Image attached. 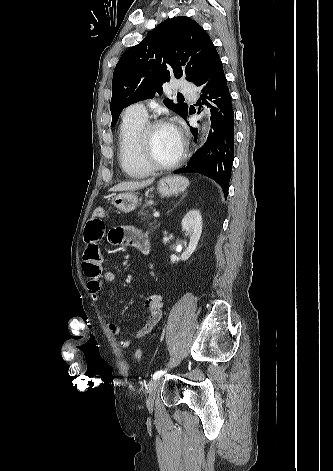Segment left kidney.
Returning a JSON list of instances; mask_svg holds the SVG:
<instances>
[{
  "mask_svg": "<svg viewBox=\"0 0 333 471\" xmlns=\"http://www.w3.org/2000/svg\"><path fill=\"white\" fill-rule=\"evenodd\" d=\"M182 229L186 231V233L190 236L189 246L186 250L182 253L180 257L172 254L170 256V260L172 263H176L178 261H186L190 258V256L196 250L198 245V241L200 239L202 233V217L199 210H191L189 211L184 218L182 219Z\"/></svg>",
  "mask_w": 333,
  "mask_h": 471,
  "instance_id": "5707ae66",
  "label": "left kidney"
}]
</instances>
